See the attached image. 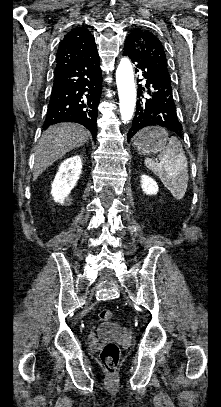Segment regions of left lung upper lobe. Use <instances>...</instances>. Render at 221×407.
<instances>
[{
    "label": "left lung upper lobe",
    "mask_w": 221,
    "mask_h": 407,
    "mask_svg": "<svg viewBox=\"0 0 221 407\" xmlns=\"http://www.w3.org/2000/svg\"><path fill=\"white\" fill-rule=\"evenodd\" d=\"M128 36L134 40L136 51L141 59H144L158 72L170 76L163 45L153 33L136 29Z\"/></svg>",
    "instance_id": "left-lung-upper-lobe-1"
}]
</instances>
